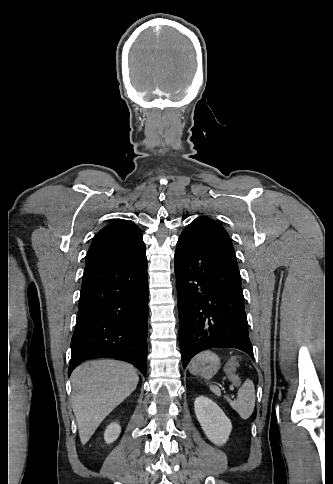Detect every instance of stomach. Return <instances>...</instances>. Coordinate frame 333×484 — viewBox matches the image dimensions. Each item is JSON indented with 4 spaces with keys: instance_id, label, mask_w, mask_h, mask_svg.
<instances>
[{
    "instance_id": "stomach-1",
    "label": "stomach",
    "mask_w": 333,
    "mask_h": 484,
    "mask_svg": "<svg viewBox=\"0 0 333 484\" xmlns=\"http://www.w3.org/2000/svg\"><path fill=\"white\" fill-rule=\"evenodd\" d=\"M220 368V360L210 351L197 355L190 363L189 370L193 375H200L206 379L212 378Z\"/></svg>"
}]
</instances>
